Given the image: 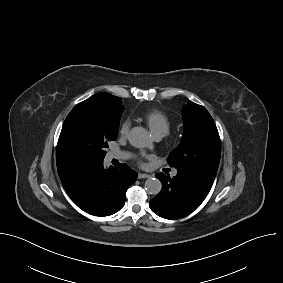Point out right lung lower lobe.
I'll return each mask as SVG.
<instances>
[{"mask_svg":"<svg viewBox=\"0 0 283 283\" xmlns=\"http://www.w3.org/2000/svg\"><path fill=\"white\" fill-rule=\"evenodd\" d=\"M60 179L78 207L95 216H108L123 208L126 190L137 173L127 165L105 169L100 162L73 167Z\"/></svg>","mask_w":283,"mask_h":283,"instance_id":"1","label":"right lung lower lobe"}]
</instances>
